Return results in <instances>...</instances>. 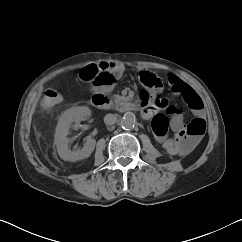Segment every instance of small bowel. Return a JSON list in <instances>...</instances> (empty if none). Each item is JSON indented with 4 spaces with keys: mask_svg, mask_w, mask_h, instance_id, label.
<instances>
[{
    "mask_svg": "<svg viewBox=\"0 0 242 242\" xmlns=\"http://www.w3.org/2000/svg\"><path fill=\"white\" fill-rule=\"evenodd\" d=\"M102 67L105 69H108L116 74V79H118L124 72V68L114 62H104L102 63ZM149 71H143L140 73V79L143 74H150ZM169 85L172 88L177 87V85L180 87L188 86L184 81H182L179 77L176 75H170L169 77ZM112 88L111 84L107 86H95V90L99 91H110ZM174 91V90H173ZM176 93V92H175ZM146 94H142L141 101H142V116L146 120H152L157 115H163L167 121L168 127L171 128L173 131V140L168 139L166 137V134L163 136H158L159 141L163 144H165L168 148H170L174 153L180 155V156H186L188 155L200 142L202 135H193L189 132L190 128H193V123L195 121L201 122V124L206 129V120L204 116V109L203 104L201 101V104L197 108H191L194 113V119L191 121L190 124L185 125L183 121V115L181 111L174 105L167 104L164 100L161 98L157 99V97L153 94H148V99H145ZM201 100V99H200ZM156 107H159L161 109H164L166 113L169 115V117L163 113L156 114L155 109Z\"/></svg>",
    "mask_w": 242,
    "mask_h": 242,
    "instance_id": "obj_1",
    "label": "small bowel"
}]
</instances>
